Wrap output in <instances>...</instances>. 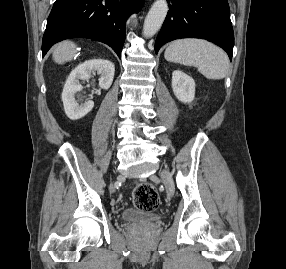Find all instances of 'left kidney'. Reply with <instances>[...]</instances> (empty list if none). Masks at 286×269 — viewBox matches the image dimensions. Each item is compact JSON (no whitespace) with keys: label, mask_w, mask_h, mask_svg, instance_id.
<instances>
[{"label":"left kidney","mask_w":286,"mask_h":269,"mask_svg":"<svg viewBox=\"0 0 286 269\" xmlns=\"http://www.w3.org/2000/svg\"><path fill=\"white\" fill-rule=\"evenodd\" d=\"M172 89L176 98L183 103H191L195 97V82L182 71H173Z\"/></svg>","instance_id":"left-kidney-1"}]
</instances>
